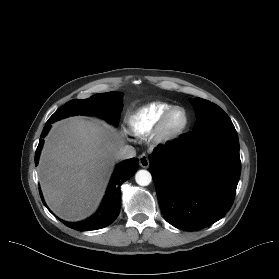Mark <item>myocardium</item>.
Masks as SVG:
<instances>
[{"label": "myocardium", "instance_id": "myocardium-1", "mask_svg": "<svg viewBox=\"0 0 279 279\" xmlns=\"http://www.w3.org/2000/svg\"><path fill=\"white\" fill-rule=\"evenodd\" d=\"M181 111L184 115L183 124L176 131L170 132L168 130V119L175 112ZM189 114L187 110L181 106H172L168 110H166L161 116L159 122L153 131L154 140L160 144H168L172 143L178 139H180L188 129L189 126Z\"/></svg>", "mask_w": 279, "mask_h": 279}]
</instances>
